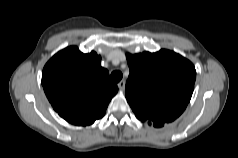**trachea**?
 I'll list each match as a JSON object with an SVG mask.
<instances>
[{
	"label": "trachea",
	"instance_id": "obj_1",
	"mask_svg": "<svg viewBox=\"0 0 238 158\" xmlns=\"http://www.w3.org/2000/svg\"><path fill=\"white\" fill-rule=\"evenodd\" d=\"M122 73L120 71H113L111 73V79L113 82L117 83L122 79Z\"/></svg>",
	"mask_w": 238,
	"mask_h": 158
}]
</instances>
